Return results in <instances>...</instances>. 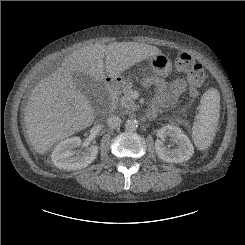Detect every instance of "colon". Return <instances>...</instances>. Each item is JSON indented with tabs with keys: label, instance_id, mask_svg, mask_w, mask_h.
<instances>
[{
	"label": "colon",
	"instance_id": "obj_1",
	"mask_svg": "<svg viewBox=\"0 0 245 245\" xmlns=\"http://www.w3.org/2000/svg\"><path fill=\"white\" fill-rule=\"evenodd\" d=\"M176 68L187 73L188 93L192 97L199 95V89L205 80V72L201 64L195 62L192 55L186 51H180L175 58Z\"/></svg>",
	"mask_w": 245,
	"mask_h": 245
}]
</instances>
